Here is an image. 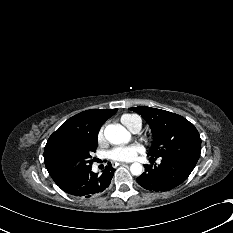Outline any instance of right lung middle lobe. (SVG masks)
Wrapping results in <instances>:
<instances>
[{
	"instance_id": "1",
	"label": "right lung middle lobe",
	"mask_w": 233,
	"mask_h": 233,
	"mask_svg": "<svg viewBox=\"0 0 233 233\" xmlns=\"http://www.w3.org/2000/svg\"><path fill=\"white\" fill-rule=\"evenodd\" d=\"M97 139L87 140L83 143H72L62 146L54 158V166L58 175L68 179L77 172L91 167L94 161L91 152H95Z\"/></svg>"
}]
</instances>
